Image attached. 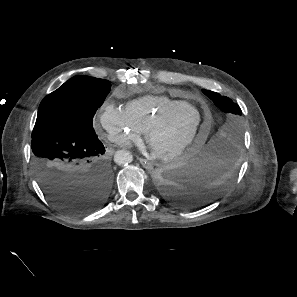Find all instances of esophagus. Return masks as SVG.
Here are the masks:
<instances>
[{
    "label": "esophagus",
    "instance_id": "1",
    "mask_svg": "<svg viewBox=\"0 0 297 297\" xmlns=\"http://www.w3.org/2000/svg\"><path fill=\"white\" fill-rule=\"evenodd\" d=\"M139 161L145 169H147V170L153 169V164L151 162H149L143 158H140Z\"/></svg>",
    "mask_w": 297,
    "mask_h": 297
}]
</instances>
